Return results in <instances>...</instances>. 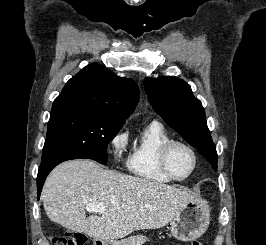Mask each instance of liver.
<instances>
[{
  "instance_id": "obj_1",
  "label": "liver",
  "mask_w": 266,
  "mask_h": 245,
  "mask_svg": "<svg viewBox=\"0 0 266 245\" xmlns=\"http://www.w3.org/2000/svg\"><path fill=\"white\" fill-rule=\"evenodd\" d=\"M41 197L50 221L100 241L165 227L194 199L183 189L101 169L90 159L58 165L48 175ZM89 203H101L105 213L86 217Z\"/></svg>"
}]
</instances>
